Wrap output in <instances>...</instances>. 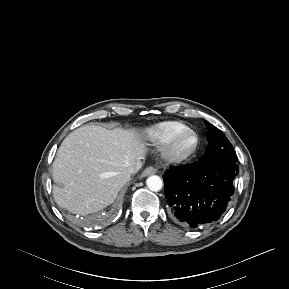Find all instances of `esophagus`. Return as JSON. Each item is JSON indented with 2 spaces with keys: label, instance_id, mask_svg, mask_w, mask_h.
Returning <instances> with one entry per match:
<instances>
[{
  "label": "esophagus",
  "instance_id": "esophagus-1",
  "mask_svg": "<svg viewBox=\"0 0 289 289\" xmlns=\"http://www.w3.org/2000/svg\"><path fill=\"white\" fill-rule=\"evenodd\" d=\"M157 172V170L150 166V167H147L143 172H142V176L143 177H147V176H150L152 174H155Z\"/></svg>",
  "mask_w": 289,
  "mask_h": 289
}]
</instances>
